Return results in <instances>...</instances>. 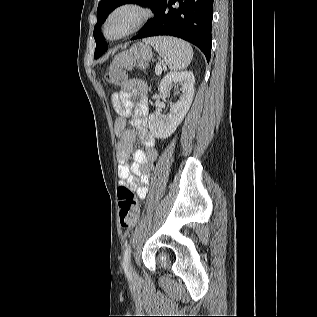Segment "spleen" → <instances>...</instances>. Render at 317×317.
<instances>
[{
	"label": "spleen",
	"mask_w": 317,
	"mask_h": 317,
	"mask_svg": "<svg viewBox=\"0 0 317 317\" xmlns=\"http://www.w3.org/2000/svg\"><path fill=\"white\" fill-rule=\"evenodd\" d=\"M144 42L154 47L170 70L187 68L193 58L192 47L175 37H154L145 39Z\"/></svg>",
	"instance_id": "spleen-1"
}]
</instances>
